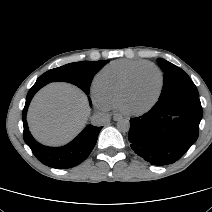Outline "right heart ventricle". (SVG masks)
I'll list each match as a JSON object with an SVG mask.
<instances>
[{"label": "right heart ventricle", "instance_id": "obj_1", "mask_svg": "<svg viewBox=\"0 0 212 212\" xmlns=\"http://www.w3.org/2000/svg\"><path fill=\"white\" fill-rule=\"evenodd\" d=\"M150 62L117 60L102 68L94 79L97 96L105 106H118L121 93L130 74Z\"/></svg>", "mask_w": 212, "mask_h": 212}]
</instances>
